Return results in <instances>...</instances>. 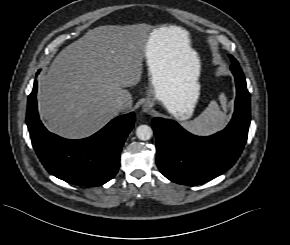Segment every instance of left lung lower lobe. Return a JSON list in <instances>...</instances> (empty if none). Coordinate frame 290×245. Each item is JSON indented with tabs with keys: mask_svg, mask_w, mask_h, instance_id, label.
Masks as SVG:
<instances>
[{
	"mask_svg": "<svg viewBox=\"0 0 290 245\" xmlns=\"http://www.w3.org/2000/svg\"><path fill=\"white\" fill-rule=\"evenodd\" d=\"M236 81V102L228 126L208 137L190 134L173 120L154 118L157 165L161 173L178 184L205 183L231 168L247 140L250 124V96L242 69L231 65Z\"/></svg>",
	"mask_w": 290,
	"mask_h": 245,
	"instance_id": "1",
	"label": "left lung lower lobe"
}]
</instances>
